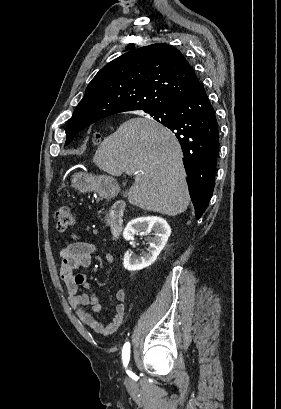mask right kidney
Returning a JSON list of instances; mask_svg holds the SVG:
<instances>
[{
	"instance_id": "obj_1",
	"label": "right kidney",
	"mask_w": 281,
	"mask_h": 409,
	"mask_svg": "<svg viewBox=\"0 0 281 409\" xmlns=\"http://www.w3.org/2000/svg\"><path fill=\"white\" fill-rule=\"evenodd\" d=\"M151 231H153L154 237H151V243H149L146 253H141L140 257H137L131 251H126L123 265L127 271H141V269L153 265L171 235V227L162 217H137V219L129 221L124 229L125 241H133V243L135 235H149Z\"/></svg>"
}]
</instances>
